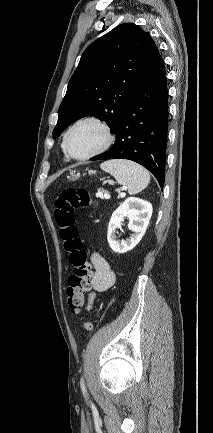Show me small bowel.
<instances>
[{
  "label": "small bowel",
  "mask_w": 213,
  "mask_h": 433,
  "mask_svg": "<svg viewBox=\"0 0 213 433\" xmlns=\"http://www.w3.org/2000/svg\"><path fill=\"white\" fill-rule=\"evenodd\" d=\"M90 260L93 272L88 295V310H91L96 294L109 289L116 280V275L111 264L103 255L98 252H92Z\"/></svg>",
  "instance_id": "obj_1"
}]
</instances>
